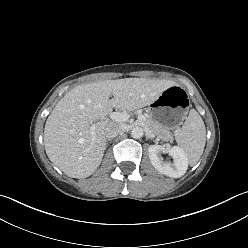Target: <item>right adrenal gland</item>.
<instances>
[{"label":"right adrenal gland","instance_id":"1","mask_svg":"<svg viewBox=\"0 0 248 248\" xmlns=\"http://www.w3.org/2000/svg\"><path fill=\"white\" fill-rule=\"evenodd\" d=\"M112 140L111 139H107L106 141V147L108 146V142H111Z\"/></svg>","mask_w":248,"mask_h":248}]
</instances>
